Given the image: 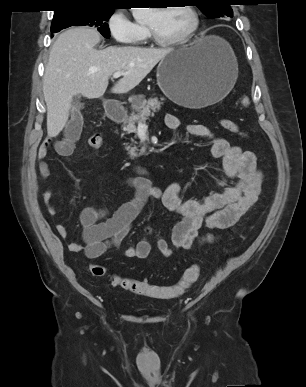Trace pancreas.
Listing matches in <instances>:
<instances>
[{"instance_id":"cf45deb5","label":"pancreas","mask_w":306,"mask_h":387,"mask_svg":"<svg viewBox=\"0 0 306 387\" xmlns=\"http://www.w3.org/2000/svg\"><path fill=\"white\" fill-rule=\"evenodd\" d=\"M161 101H164V98H161ZM161 104L158 98H150L148 100L145 99L143 95H137L132 97V109L133 112L126 116L124 119V130L127 133H136L137 134V126L136 124L145 122L150 116H153L155 112L159 111L161 108ZM126 150L128 151V155L131 159L137 158L141 156L145 148L142 147L138 149L135 145L127 146Z\"/></svg>"}]
</instances>
